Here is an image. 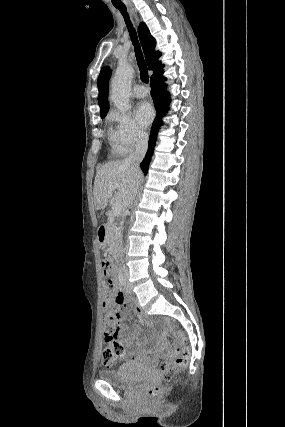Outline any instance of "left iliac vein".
I'll return each mask as SVG.
<instances>
[{
  "instance_id": "obj_1",
  "label": "left iliac vein",
  "mask_w": 285,
  "mask_h": 427,
  "mask_svg": "<svg viewBox=\"0 0 285 427\" xmlns=\"http://www.w3.org/2000/svg\"><path fill=\"white\" fill-rule=\"evenodd\" d=\"M125 291H126L128 294H131V293H132L131 286H130V284H129L128 282H126V285H125Z\"/></svg>"
}]
</instances>
